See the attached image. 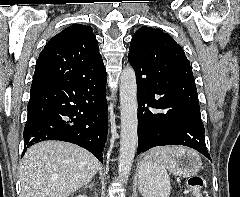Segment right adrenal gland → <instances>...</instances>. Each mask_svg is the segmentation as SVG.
Instances as JSON below:
<instances>
[{"label":"right adrenal gland","mask_w":240,"mask_h":197,"mask_svg":"<svg viewBox=\"0 0 240 197\" xmlns=\"http://www.w3.org/2000/svg\"><path fill=\"white\" fill-rule=\"evenodd\" d=\"M84 188H89L90 190H93V183L86 185ZM95 194H96V192H95ZM96 197H97V194H96Z\"/></svg>","instance_id":"1"}]
</instances>
